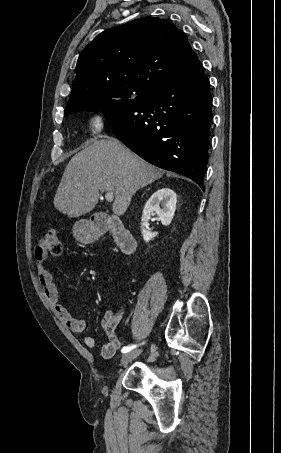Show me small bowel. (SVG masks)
<instances>
[{
	"mask_svg": "<svg viewBox=\"0 0 281 453\" xmlns=\"http://www.w3.org/2000/svg\"><path fill=\"white\" fill-rule=\"evenodd\" d=\"M38 255L39 262L36 266V273L48 303L58 313L70 331L83 334L86 330L85 320L72 316L68 308L60 302L53 276L48 267L41 262L47 255L46 251H39ZM70 296L74 297L75 294L71 293ZM120 315L125 317L127 312L122 310ZM119 319L120 316L117 313L112 310H108L100 320V328L105 331L107 337L106 343L100 349V356L104 360L114 358L116 353L122 348V345L115 334V327ZM83 342L89 348H95L96 346V338L92 335H84Z\"/></svg>",
	"mask_w": 281,
	"mask_h": 453,
	"instance_id": "c3829d8e",
	"label": "small bowel"
}]
</instances>
